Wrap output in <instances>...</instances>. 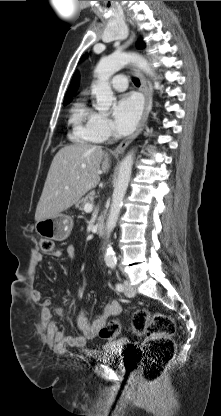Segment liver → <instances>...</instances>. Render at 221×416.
<instances>
[{
    "label": "liver",
    "mask_w": 221,
    "mask_h": 416,
    "mask_svg": "<svg viewBox=\"0 0 221 416\" xmlns=\"http://www.w3.org/2000/svg\"><path fill=\"white\" fill-rule=\"evenodd\" d=\"M110 157L101 146L76 143L54 156L37 204L35 220L52 218L80 200L108 172Z\"/></svg>",
    "instance_id": "liver-1"
}]
</instances>
